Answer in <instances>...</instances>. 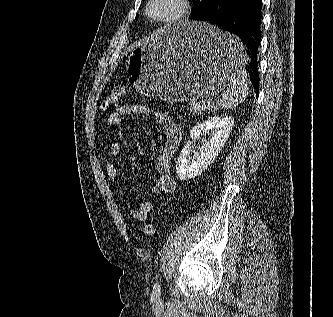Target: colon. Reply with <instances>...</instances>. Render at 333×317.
<instances>
[{
  "label": "colon",
  "instance_id": "1",
  "mask_svg": "<svg viewBox=\"0 0 333 317\" xmlns=\"http://www.w3.org/2000/svg\"><path fill=\"white\" fill-rule=\"evenodd\" d=\"M128 93V90L125 88L113 90L104 100L103 108L106 109L109 105L114 104L121 96ZM144 234L148 237H153L155 234V228L152 224L147 223L143 228Z\"/></svg>",
  "mask_w": 333,
  "mask_h": 317
}]
</instances>
